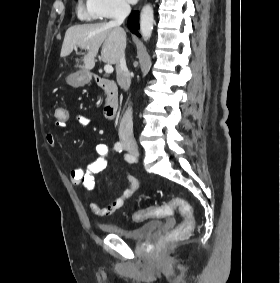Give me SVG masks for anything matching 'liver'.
<instances>
[{
    "label": "liver",
    "instance_id": "1",
    "mask_svg": "<svg viewBox=\"0 0 280 283\" xmlns=\"http://www.w3.org/2000/svg\"><path fill=\"white\" fill-rule=\"evenodd\" d=\"M78 46L87 49L79 64L76 59L75 67L91 70L95 66V57L102 46L101 60L107 64L116 65L120 54L126 48V33L120 27L111 26L110 23L83 24L72 26L67 29L61 49V57L71 54Z\"/></svg>",
    "mask_w": 280,
    "mask_h": 283
}]
</instances>
